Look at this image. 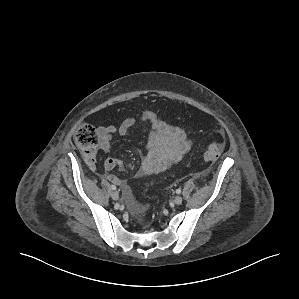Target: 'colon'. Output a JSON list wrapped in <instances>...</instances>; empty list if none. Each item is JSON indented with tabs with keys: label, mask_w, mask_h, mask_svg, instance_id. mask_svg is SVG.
Masks as SVG:
<instances>
[{
	"label": "colon",
	"mask_w": 299,
	"mask_h": 299,
	"mask_svg": "<svg viewBox=\"0 0 299 299\" xmlns=\"http://www.w3.org/2000/svg\"><path fill=\"white\" fill-rule=\"evenodd\" d=\"M75 142L89 164H94L99 144V135L95 128L89 124H81L75 132ZM224 150L222 142L210 144L204 152L206 160L218 158Z\"/></svg>",
	"instance_id": "obj_1"
}]
</instances>
